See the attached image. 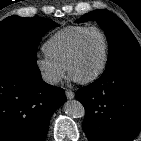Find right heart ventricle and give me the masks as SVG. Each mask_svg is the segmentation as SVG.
I'll list each match as a JSON object with an SVG mask.
<instances>
[{
	"label": "right heart ventricle",
	"mask_w": 141,
	"mask_h": 141,
	"mask_svg": "<svg viewBox=\"0 0 141 141\" xmlns=\"http://www.w3.org/2000/svg\"><path fill=\"white\" fill-rule=\"evenodd\" d=\"M88 26L71 25L54 33L43 45V51L55 62L66 67L73 45L82 31Z\"/></svg>",
	"instance_id": "1"
}]
</instances>
